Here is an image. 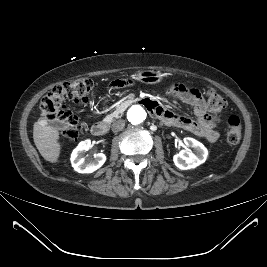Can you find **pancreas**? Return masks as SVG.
I'll list each match as a JSON object with an SVG mask.
<instances>
[{
	"instance_id": "obj_1",
	"label": "pancreas",
	"mask_w": 267,
	"mask_h": 267,
	"mask_svg": "<svg viewBox=\"0 0 267 267\" xmlns=\"http://www.w3.org/2000/svg\"><path fill=\"white\" fill-rule=\"evenodd\" d=\"M120 114H121L120 112L115 111V112L111 113L110 115L106 116L104 121L107 122V123H111V122L114 121L115 118L121 117Z\"/></svg>"
}]
</instances>
